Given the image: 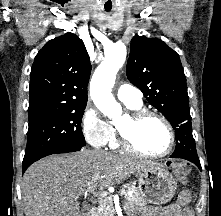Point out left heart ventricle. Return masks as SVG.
Listing matches in <instances>:
<instances>
[{
	"label": "left heart ventricle",
	"mask_w": 221,
	"mask_h": 216,
	"mask_svg": "<svg viewBox=\"0 0 221 216\" xmlns=\"http://www.w3.org/2000/svg\"><path fill=\"white\" fill-rule=\"evenodd\" d=\"M133 139L138 147L148 153L163 152L169 144L165 125L154 117L146 118L140 123L133 132Z\"/></svg>",
	"instance_id": "b2bd125f"
}]
</instances>
